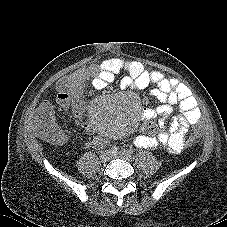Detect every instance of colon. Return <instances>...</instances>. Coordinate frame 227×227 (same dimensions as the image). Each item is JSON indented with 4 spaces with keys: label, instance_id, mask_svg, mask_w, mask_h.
I'll list each match as a JSON object with an SVG mask.
<instances>
[{
    "label": "colon",
    "instance_id": "obj_1",
    "mask_svg": "<svg viewBox=\"0 0 227 227\" xmlns=\"http://www.w3.org/2000/svg\"><path fill=\"white\" fill-rule=\"evenodd\" d=\"M41 136L49 143L61 144L65 140V134L55 124H46L39 128ZM183 143L188 148H195L199 145L200 140L197 136L188 134L184 137Z\"/></svg>",
    "mask_w": 227,
    "mask_h": 227
}]
</instances>
